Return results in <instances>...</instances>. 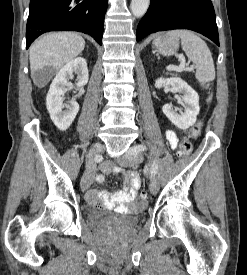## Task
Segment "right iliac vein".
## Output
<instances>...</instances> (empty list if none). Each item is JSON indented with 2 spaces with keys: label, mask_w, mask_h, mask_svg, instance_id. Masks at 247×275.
Masks as SVG:
<instances>
[{
  "label": "right iliac vein",
  "mask_w": 247,
  "mask_h": 275,
  "mask_svg": "<svg viewBox=\"0 0 247 275\" xmlns=\"http://www.w3.org/2000/svg\"><path fill=\"white\" fill-rule=\"evenodd\" d=\"M104 151L102 145H96L92 147L86 158V170L81 178V187L82 189H88L94 179L95 164L94 158L96 154H101Z\"/></svg>",
  "instance_id": "obj_1"
}]
</instances>
